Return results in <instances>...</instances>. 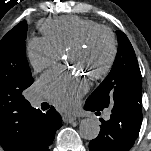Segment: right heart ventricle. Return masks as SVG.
I'll return each instance as SVG.
<instances>
[{
	"label": "right heart ventricle",
	"mask_w": 151,
	"mask_h": 151,
	"mask_svg": "<svg viewBox=\"0 0 151 151\" xmlns=\"http://www.w3.org/2000/svg\"><path fill=\"white\" fill-rule=\"evenodd\" d=\"M100 25L78 16H63L43 20L39 27L44 37L52 42L61 52L69 50L85 34Z\"/></svg>",
	"instance_id": "1"
}]
</instances>
